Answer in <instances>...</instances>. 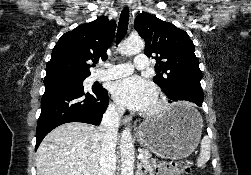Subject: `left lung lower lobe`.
<instances>
[{
	"instance_id": "1",
	"label": "left lung lower lobe",
	"mask_w": 251,
	"mask_h": 175,
	"mask_svg": "<svg viewBox=\"0 0 251 175\" xmlns=\"http://www.w3.org/2000/svg\"><path fill=\"white\" fill-rule=\"evenodd\" d=\"M172 101L187 102L177 112L176 117L185 120H195L202 114V102L204 98L203 90L188 84H177L168 91H164Z\"/></svg>"
}]
</instances>
